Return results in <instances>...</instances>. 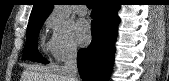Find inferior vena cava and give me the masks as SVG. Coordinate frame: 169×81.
Instances as JSON below:
<instances>
[{
  "label": "inferior vena cava",
  "instance_id": "602c4592",
  "mask_svg": "<svg viewBox=\"0 0 169 81\" xmlns=\"http://www.w3.org/2000/svg\"><path fill=\"white\" fill-rule=\"evenodd\" d=\"M64 71L70 81H79L77 69V47L75 45H71L66 51Z\"/></svg>",
  "mask_w": 169,
  "mask_h": 81
}]
</instances>
